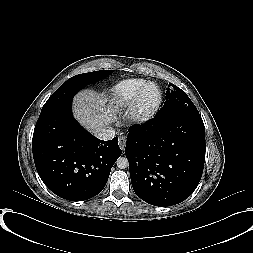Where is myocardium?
I'll use <instances>...</instances> for the list:
<instances>
[{
    "instance_id": "obj_1",
    "label": "myocardium",
    "mask_w": 253,
    "mask_h": 253,
    "mask_svg": "<svg viewBox=\"0 0 253 253\" xmlns=\"http://www.w3.org/2000/svg\"><path fill=\"white\" fill-rule=\"evenodd\" d=\"M150 86L157 88L159 92V99L156 104L150 108H146L143 104V96L146 89ZM163 91L160 86L155 82H146L138 91L132 105L128 112V118L135 124H145L152 120L163 103Z\"/></svg>"
}]
</instances>
